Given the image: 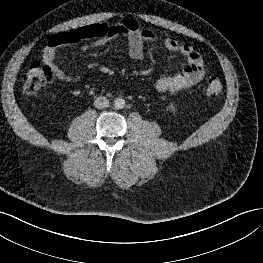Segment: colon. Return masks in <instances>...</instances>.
<instances>
[{
    "mask_svg": "<svg viewBox=\"0 0 263 263\" xmlns=\"http://www.w3.org/2000/svg\"><path fill=\"white\" fill-rule=\"evenodd\" d=\"M54 79L52 69L47 65H42L35 61L30 64L26 73L24 89L29 94H34L50 84ZM223 90L221 81L216 76H211L207 80L206 93L210 96H217Z\"/></svg>",
    "mask_w": 263,
    "mask_h": 263,
    "instance_id": "5ec220e1",
    "label": "colon"
}]
</instances>
